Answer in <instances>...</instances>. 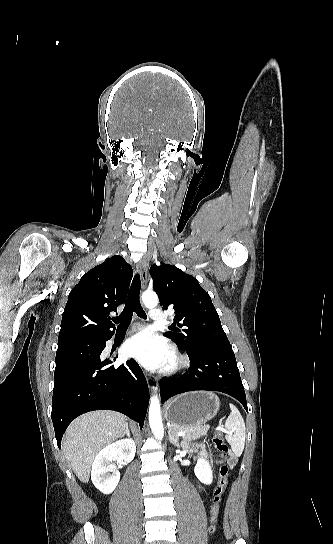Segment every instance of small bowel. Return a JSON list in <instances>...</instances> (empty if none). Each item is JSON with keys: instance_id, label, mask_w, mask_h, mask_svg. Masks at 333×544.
I'll use <instances>...</instances> for the list:
<instances>
[{"instance_id": "small-bowel-1", "label": "small bowel", "mask_w": 333, "mask_h": 544, "mask_svg": "<svg viewBox=\"0 0 333 544\" xmlns=\"http://www.w3.org/2000/svg\"><path fill=\"white\" fill-rule=\"evenodd\" d=\"M200 448H201V452L199 454V457L202 458V459H207L209 458V453L205 450V446L203 443H200L199 444ZM236 462H237V459L235 457L234 454H230L228 459H227V463L229 464V466L232 468L236 465ZM197 487L200 491H203L204 490V487L202 484H197Z\"/></svg>"}]
</instances>
